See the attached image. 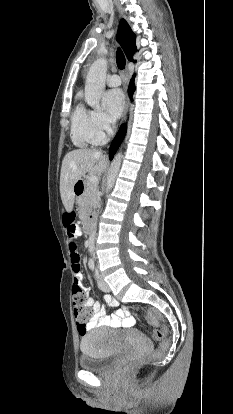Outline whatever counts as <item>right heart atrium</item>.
<instances>
[{
    "instance_id": "d8ad5b80",
    "label": "right heart atrium",
    "mask_w": 233,
    "mask_h": 414,
    "mask_svg": "<svg viewBox=\"0 0 233 414\" xmlns=\"http://www.w3.org/2000/svg\"><path fill=\"white\" fill-rule=\"evenodd\" d=\"M94 126L99 142L105 140L106 135L113 130L114 121L103 111H92Z\"/></svg>"
}]
</instances>
